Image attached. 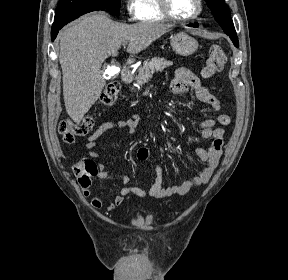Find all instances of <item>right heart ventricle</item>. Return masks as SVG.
Returning a JSON list of instances; mask_svg holds the SVG:
<instances>
[{
	"instance_id": "right-heart-ventricle-1",
	"label": "right heart ventricle",
	"mask_w": 288,
	"mask_h": 280,
	"mask_svg": "<svg viewBox=\"0 0 288 280\" xmlns=\"http://www.w3.org/2000/svg\"><path fill=\"white\" fill-rule=\"evenodd\" d=\"M143 22H164L166 17L162 14L158 0H139V17Z\"/></svg>"
}]
</instances>
